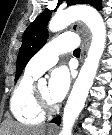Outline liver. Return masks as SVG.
Segmentation results:
<instances>
[{
  "label": "liver",
  "instance_id": "6515ba94",
  "mask_svg": "<svg viewBox=\"0 0 112 135\" xmlns=\"http://www.w3.org/2000/svg\"><path fill=\"white\" fill-rule=\"evenodd\" d=\"M45 130V127L27 128L13 121H8L3 124L2 135H45Z\"/></svg>",
  "mask_w": 112,
  "mask_h": 135
}]
</instances>
